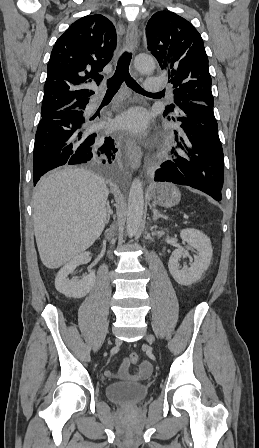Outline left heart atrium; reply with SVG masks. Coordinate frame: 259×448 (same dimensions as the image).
Returning <instances> with one entry per match:
<instances>
[{"instance_id": "obj_1", "label": "left heart atrium", "mask_w": 259, "mask_h": 448, "mask_svg": "<svg viewBox=\"0 0 259 448\" xmlns=\"http://www.w3.org/2000/svg\"><path fill=\"white\" fill-rule=\"evenodd\" d=\"M117 125L134 133H142L147 127L146 113L142 108H133L119 118Z\"/></svg>"}]
</instances>
